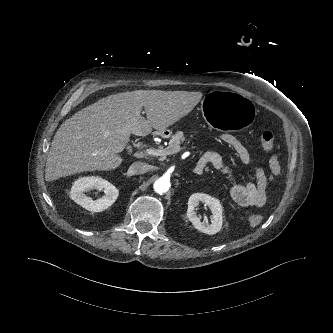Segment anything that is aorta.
Instances as JSON below:
<instances>
[{"label":"aorta","mask_w":333,"mask_h":333,"mask_svg":"<svg viewBox=\"0 0 333 333\" xmlns=\"http://www.w3.org/2000/svg\"><path fill=\"white\" fill-rule=\"evenodd\" d=\"M153 187L158 194L166 193L170 188V180L166 177H161L155 181Z\"/></svg>","instance_id":"1"}]
</instances>
